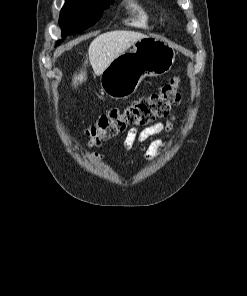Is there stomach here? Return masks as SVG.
Returning a JSON list of instances; mask_svg holds the SVG:
<instances>
[{"label":"stomach","instance_id":"obj_1","mask_svg":"<svg viewBox=\"0 0 247 296\" xmlns=\"http://www.w3.org/2000/svg\"><path fill=\"white\" fill-rule=\"evenodd\" d=\"M175 50L167 42L147 36L118 56L101 74L102 90L111 98L125 99L146 76H161L172 68Z\"/></svg>","mask_w":247,"mask_h":296}]
</instances>
